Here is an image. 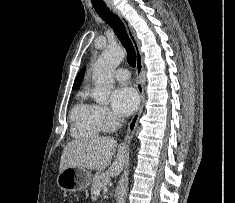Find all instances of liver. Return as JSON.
Returning <instances> with one entry per match:
<instances>
[{
    "label": "liver",
    "mask_w": 235,
    "mask_h": 203,
    "mask_svg": "<svg viewBox=\"0 0 235 203\" xmlns=\"http://www.w3.org/2000/svg\"><path fill=\"white\" fill-rule=\"evenodd\" d=\"M117 146V141L107 136L69 142L61 156L59 173L68 167H83L96 171H103L108 167V176H118L128 162V148L120 144L116 160L111 163Z\"/></svg>",
    "instance_id": "liver-1"
}]
</instances>
